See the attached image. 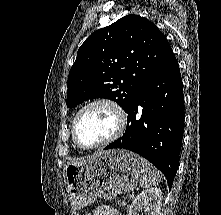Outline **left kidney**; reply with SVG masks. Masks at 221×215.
I'll return each mask as SVG.
<instances>
[{"label":"left kidney","mask_w":221,"mask_h":215,"mask_svg":"<svg viewBox=\"0 0 221 215\" xmlns=\"http://www.w3.org/2000/svg\"><path fill=\"white\" fill-rule=\"evenodd\" d=\"M162 206V192L160 188H149L142 191L133 200L128 215H138V211L145 210L147 215H160Z\"/></svg>","instance_id":"1"}]
</instances>
